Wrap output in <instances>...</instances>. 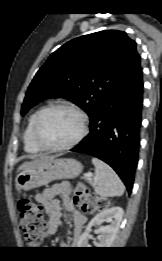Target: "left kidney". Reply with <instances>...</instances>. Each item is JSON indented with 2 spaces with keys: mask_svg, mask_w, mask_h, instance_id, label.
Instances as JSON below:
<instances>
[{
  "mask_svg": "<svg viewBox=\"0 0 162 261\" xmlns=\"http://www.w3.org/2000/svg\"><path fill=\"white\" fill-rule=\"evenodd\" d=\"M124 211L121 207H112L105 210H102L98 213L86 226L84 233L80 236L77 247L86 248L89 247L88 238L91 228L93 226H100L99 231L101 236L99 242H94L95 247L98 248H108L112 245L119 226L122 221ZM103 221H107L110 224L107 226H101Z\"/></svg>",
  "mask_w": 162,
  "mask_h": 261,
  "instance_id": "left-kidney-1",
  "label": "left kidney"
}]
</instances>
